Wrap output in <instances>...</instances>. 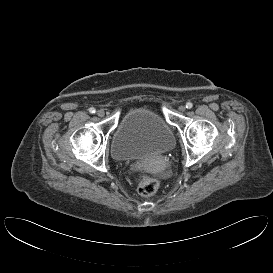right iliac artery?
I'll use <instances>...</instances> for the list:
<instances>
[{"instance_id": "82829eb1", "label": "right iliac artery", "mask_w": 273, "mask_h": 273, "mask_svg": "<svg viewBox=\"0 0 273 273\" xmlns=\"http://www.w3.org/2000/svg\"><path fill=\"white\" fill-rule=\"evenodd\" d=\"M89 112L93 114V113L96 112V110H95V108L91 107V108L89 109Z\"/></svg>"}]
</instances>
